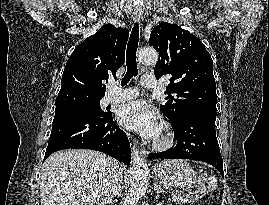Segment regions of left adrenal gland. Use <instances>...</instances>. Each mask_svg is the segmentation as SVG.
Returning a JSON list of instances; mask_svg holds the SVG:
<instances>
[{"instance_id":"obj_1","label":"left adrenal gland","mask_w":269,"mask_h":205,"mask_svg":"<svg viewBox=\"0 0 269 205\" xmlns=\"http://www.w3.org/2000/svg\"><path fill=\"white\" fill-rule=\"evenodd\" d=\"M154 190L156 193H164V189L161 187V185L158 182L154 183Z\"/></svg>"}]
</instances>
